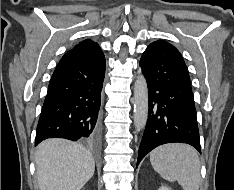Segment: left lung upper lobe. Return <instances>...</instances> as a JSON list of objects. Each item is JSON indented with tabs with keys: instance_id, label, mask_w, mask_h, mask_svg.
I'll return each mask as SVG.
<instances>
[{
	"instance_id": "left-lung-upper-lobe-1",
	"label": "left lung upper lobe",
	"mask_w": 234,
	"mask_h": 190,
	"mask_svg": "<svg viewBox=\"0 0 234 190\" xmlns=\"http://www.w3.org/2000/svg\"><path fill=\"white\" fill-rule=\"evenodd\" d=\"M182 71H183V78H184L185 82H186L188 85H190V77H189L188 69H187V67H186L185 62H183ZM190 86H191V85H190Z\"/></svg>"
}]
</instances>
